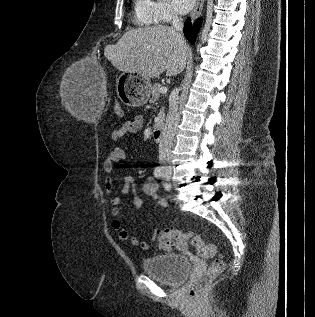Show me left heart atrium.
<instances>
[{"mask_svg":"<svg viewBox=\"0 0 315 317\" xmlns=\"http://www.w3.org/2000/svg\"><path fill=\"white\" fill-rule=\"evenodd\" d=\"M196 0H170L172 9L180 14L189 12L195 5Z\"/></svg>","mask_w":315,"mask_h":317,"instance_id":"left-heart-atrium-1","label":"left heart atrium"}]
</instances>
